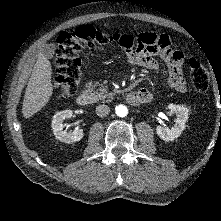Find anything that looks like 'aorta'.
I'll return each instance as SVG.
<instances>
[{"mask_svg":"<svg viewBox=\"0 0 221 221\" xmlns=\"http://www.w3.org/2000/svg\"><path fill=\"white\" fill-rule=\"evenodd\" d=\"M115 112L119 117H125L128 114V109L124 105H118L115 108Z\"/></svg>","mask_w":221,"mask_h":221,"instance_id":"obj_1","label":"aorta"}]
</instances>
